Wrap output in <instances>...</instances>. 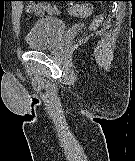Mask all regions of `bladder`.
Wrapping results in <instances>:
<instances>
[{
	"label": "bladder",
	"instance_id": "1",
	"mask_svg": "<svg viewBox=\"0 0 135 161\" xmlns=\"http://www.w3.org/2000/svg\"><path fill=\"white\" fill-rule=\"evenodd\" d=\"M65 31L66 26L61 18H36L31 22L25 34V41L30 49H49L58 43Z\"/></svg>",
	"mask_w": 135,
	"mask_h": 161
}]
</instances>
